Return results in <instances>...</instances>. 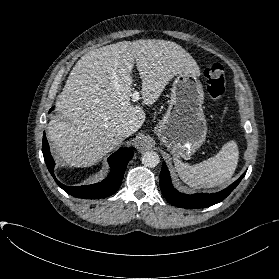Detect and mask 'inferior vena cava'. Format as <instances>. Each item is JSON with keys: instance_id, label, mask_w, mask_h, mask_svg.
Returning a JSON list of instances; mask_svg holds the SVG:
<instances>
[{"instance_id": "obj_1", "label": "inferior vena cava", "mask_w": 279, "mask_h": 279, "mask_svg": "<svg viewBox=\"0 0 279 279\" xmlns=\"http://www.w3.org/2000/svg\"><path fill=\"white\" fill-rule=\"evenodd\" d=\"M121 134L123 137H128L132 134V130L130 128L126 127L121 131Z\"/></svg>"}]
</instances>
